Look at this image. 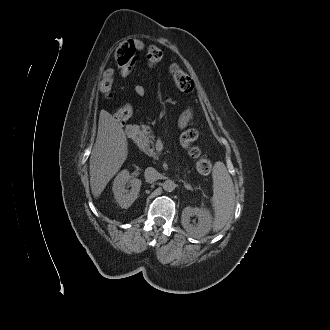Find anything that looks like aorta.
<instances>
[{
    "instance_id": "1",
    "label": "aorta",
    "mask_w": 330,
    "mask_h": 330,
    "mask_svg": "<svg viewBox=\"0 0 330 330\" xmlns=\"http://www.w3.org/2000/svg\"><path fill=\"white\" fill-rule=\"evenodd\" d=\"M162 186L165 191L172 192L175 189L176 184L172 180H166Z\"/></svg>"
}]
</instances>
